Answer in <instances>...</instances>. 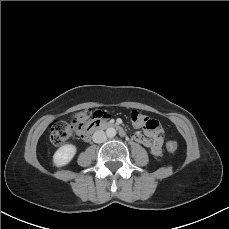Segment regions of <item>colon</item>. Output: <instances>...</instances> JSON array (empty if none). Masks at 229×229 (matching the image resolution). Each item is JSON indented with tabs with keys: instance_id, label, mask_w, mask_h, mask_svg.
<instances>
[{
	"instance_id": "obj_1",
	"label": "colon",
	"mask_w": 229,
	"mask_h": 229,
	"mask_svg": "<svg viewBox=\"0 0 229 229\" xmlns=\"http://www.w3.org/2000/svg\"><path fill=\"white\" fill-rule=\"evenodd\" d=\"M131 122L135 127L144 128L151 131L160 130V124L138 111H133L130 115ZM95 118H109V114L104 111H93L86 109L75 113L70 123L58 121L50 127V142L53 145H60L76 135L83 134L90 126L91 120ZM166 149L170 153H175L178 149L176 141L169 140Z\"/></svg>"
}]
</instances>
